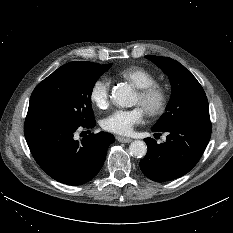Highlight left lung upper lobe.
<instances>
[{
  "instance_id": "5c2ea615",
  "label": "left lung upper lobe",
  "mask_w": 233,
  "mask_h": 233,
  "mask_svg": "<svg viewBox=\"0 0 233 233\" xmlns=\"http://www.w3.org/2000/svg\"><path fill=\"white\" fill-rule=\"evenodd\" d=\"M146 58L168 75L172 87L167 111L153 128L165 130L191 118L210 119L206 94L190 71L169 57L147 55Z\"/></svg>"
}]
</instances>
